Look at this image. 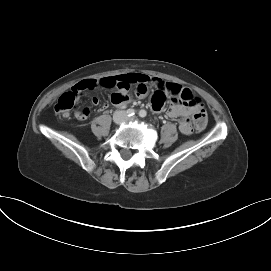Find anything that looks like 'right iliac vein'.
<instances>
[{
    "mask_svg": "<svg viewBox=\"0 0 271 271\" xmlns=\"http://www.w3.org/2000/svg\"><path fill=\"white\" fill-rule=\"evenodd\" d=\"M123 119H124V115L121 112L115 113L114 116H113V121L116 124L121 123L123 121Z\"/></svg>",
    "mask_w": 271,
    "mask_h": 271,
    "instance_id": "obj_1",
    "label": "right iliac vein"
}]
</instances>
